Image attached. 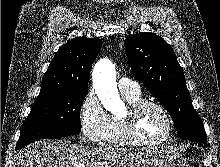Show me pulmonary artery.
<instances>
[{"mask_svg": "<svg viewBox=\"0 0 220 167\" xmlns=\"http://www.w3.org/2000/svg\"><path fill=\"white\" fill-rule=\"evenodd\" d=\"M118 87L122 93H140L138 84L126 77L119 79Z\"/></svg>", "mask_w": 220, "mask_h": 167, "instance_id": "obj_1", "label": "pulmonary artery"}]
</instances>
